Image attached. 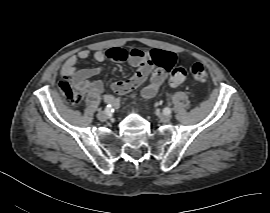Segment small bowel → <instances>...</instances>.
Segmentation results:
<instances>
[{
	"instance_id": "1",
	"label": "small bowel",
	"mask_w": 270,
	"mask_h": 213,
	"mask_svg": "<svg viewBox=\"0 0 270 213\" xmlns=\"http://www.w3.org/2000/svg\"><path fill=\"white\" fill-rule=\"evenodd\" d=\"M115 49H120L117 47L110 48L108 50H96L93 54V57L96 61L102 62L106 59L114 60L112 57V53ZM163 52H169L164 50H158ZM173 55L174 64L176 63V55L173 52H169ZM90 56V52L88 50H82L78 53V55L70 56L64 63L62 67V74L67 79L65 82L73 92L78 95L81 99L86 96H90L94 93L101 91L102 84L100 81H93L90 80V77L97 73V69L89 68L83 70H77L76 66L78 63V59L85 60ZM127 63L136 68H141L145 65L150 66L147 63V56L145 55H138V56H131L127 59ZM146 77H142L138 72L132 75L130 78L124 81H118L113 84V89L119 94H125L132 89L136 88L140 85ZM149 83L143 88L142 96L145 99H150L155 96L159 87L161 86L162 82L165 79V74L162 70L156 69L151 67V73L149 75ZM103 100L107 104H111L116 106L119 104V99L115 98L112 95H105Z\"/></svg>"
}]
</instances>
